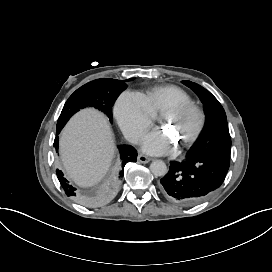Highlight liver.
Instances as JSON below:
<instances>
[{
    "mask_svg": "<svg viewBox=\"0 0 272 272\" xmlns=\"http://www.w3.org/2000/svg\"><path fill=\"white\" fill-rule=\"evenodd\" d=\"M113 152L109 124L92 110L76 115L61 137L62 161L68 177L81 186H92L101 179Z\"/></svg>",
    "mask_w": 272,
    "mask_h": 272,
    "instance_id": "liver-1",
    "label": "liver"
}]
</instances>
